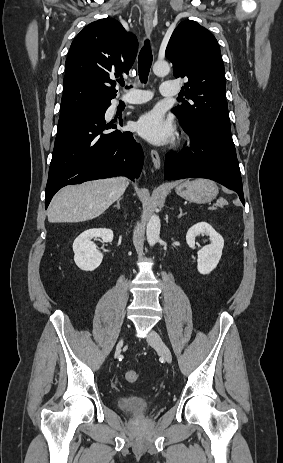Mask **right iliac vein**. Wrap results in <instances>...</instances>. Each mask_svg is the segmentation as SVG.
I'll return each mask as SVG.
<instances>
[{
	"mask_svg": "<svg viewBox=\"0 0 283 463\" xmlns=\"http://www.w3.org/2000/svg\"><path fill=\"white\" fill-rule=\"evenodd\" d=\"M122 345H123V339L119 341L118 345H117V348H116V353H120L121 351V348H122Z\"/></svg>",
	"mask_w": 283,
	"mask_h": 463,
	"instance_id": "1",
	"label": "right iliac vein"
}]
</instances>
